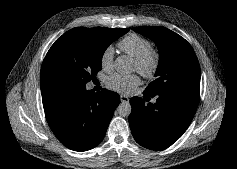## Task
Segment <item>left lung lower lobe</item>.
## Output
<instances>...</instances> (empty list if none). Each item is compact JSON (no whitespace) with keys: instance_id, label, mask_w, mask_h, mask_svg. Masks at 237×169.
<instances>
[{"instance_id":"0a47b994","label":"left lung lower lobe","mask_w":237,"mask_h":169,"mask_svg":"<svg viewBox=\"0 0 237 169\" xmlns=\"http://www.w3.org/2000/svg\"><path fill=\"white\" fill-rule=\"evenodd\" d=\"M199 94L191 90H168L154 95L157 102L147 105L142 98H131L129 125L136 142L151 150L171 146L190 125L199 103ZM144 95V99L149 96Z\"/></svg>"}]
</instances>
